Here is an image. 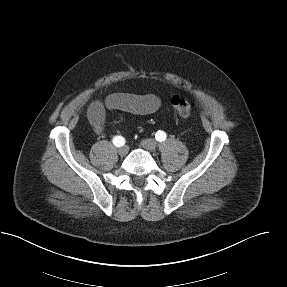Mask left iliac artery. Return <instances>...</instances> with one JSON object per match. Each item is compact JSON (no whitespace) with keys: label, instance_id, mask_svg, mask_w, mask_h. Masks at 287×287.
<instances>
[{"label":"left iliac artery","instance_id":"1","mask_svg":"<svg viewBox=\"0 0 287 287\" xmlns=\"http://www.w3.org/2000/svg\"><path fill=\"white\" fill-rule=\"evenodd\" d=\"M166 133L164 131H157V133L155 134V138L157 141L162 142L166 140Z\"/></svg>","mask_w":287,"mask_h":287}]
</instances>
